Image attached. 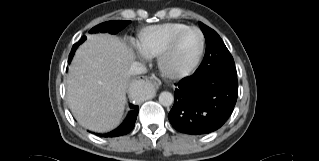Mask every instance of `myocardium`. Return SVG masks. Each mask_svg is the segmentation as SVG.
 <instances>
[{
    "mask_svg": "<svg viewBox=\"0 0 319 161\" xmlns=\"http://www.w3.org/2000/svg\"><path fill=\"white\" fill-rule=\"evenodd\" d=\"M190 30H195L200 35V47H199L198 53H197L195 59L192 61V63L189 64L188 66L181 68V69L174 68L173 66L170 65V62H169L170 56H171V54L174 50V47H175L177 41L179 40V38L184 33H186L187 31H190ZM204 46H205L204 34L198 27L190 26V27H186L184 29L177 31L169 39L165 49L160 54L158 65H159V69H160L161 73L164 76L169 77V78H173V79L182 78V77H185V76L191 74L200 63V60H201L203 52H204Z\"/></svg>",
    "mask_w": 319,
    "mask_h": 161,
    "instance_id": "myocardium-1",
    "label": "myocardium"
}]
</instances>
